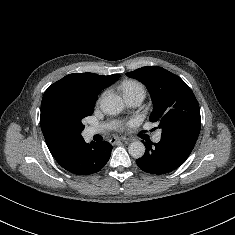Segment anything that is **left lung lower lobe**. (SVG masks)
I'll return each instance as SVG.
<instances>
[{
	"label": "left lung lower lobe",
	"instance_id": "1",
	"mask_svg": "<svg viewBox=\"0 0 235 235\" xmlns=\"http://www.w3.org/2000/svg\"><path fill=\"white\" fill-rule=\"evenodd\" d=\"M143 143L146 152L136 161L139 168L152 174H165L184 163L196 142L185 138L161 137L159 143Z\"/></svg>",
	"mask_w": 235,
	"mask_h": 235
}]
</instances>
